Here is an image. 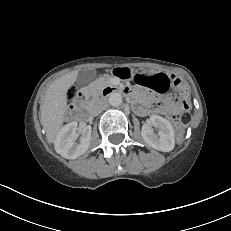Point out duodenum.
Returning <instances> with one entry per match:
<instances>
[{"mask_svg": "<svg viewBox=\"0 0 231 231\" xmlns=\"http://www.w3.org/2000/svg\"><path fill=\"white\" fill-rule=\"evenodd\" d=\"M113 91H115V88L114 87H110V86H105L103 89H102V92H101V97H105L107 96L108 94L112 93ZM126 93L130 94V91H127ZM88 96V93L87 92H84L82 94V98L83 99H86ZM72 116L76 119H79V120H83V118L85 117V114H83L79 108H75L72 112Z\"/></svg>", "mask_w": 231, "mask_h": 231, "instance_id": "obj_1", "label": "duodenum"}]
</instances>
